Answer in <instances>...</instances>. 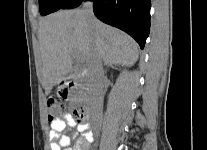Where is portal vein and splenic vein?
I'll return each instance as SVG.
<instances>
[{
    "label": "portal vein and splenic vein",
    "instance_id": "obj_1",
    "mask_svg": "<svg viewBox=\"0 0 207 150\" xmlns=\"http://www.w3.org/2000/svg\"><path fill=\"white\" fill-rule=\"evenodd\" d=\"M76 59H77L78 63H82L83 62L82 59L79 56H76Z\"/></svg>",
    "mask_w": 207,
    "mask_h": 150
}]
</instances>
